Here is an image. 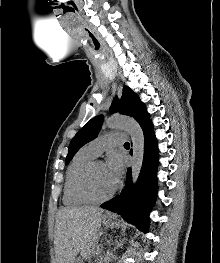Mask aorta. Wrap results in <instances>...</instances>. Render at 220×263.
<instances>
[{
    "mask_svg": "<svg viewBox=\"0 0 220 263\" xmlns=\"http://www.w3.org/2000/svg\"><path fill=\"white\" fill-rule=\"evenodd\" d=\"M105 128L124 129L128 132L132 141V182L136 183L144 157V135L140 125L132 118L112 116L106 119Z\"/></svg>",
    "mask_w": 220,
    "mask_h": 263,
    "instance_id": "obj_1",
    "label": "aorta"
}]
</instances>
